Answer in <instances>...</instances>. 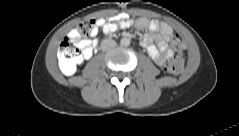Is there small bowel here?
<instances>
[{
    "label": "small bowel",
    "instance_id": "c3829d8e",
    "mask_svg": "<svg viewBox=\"0 0 239 136\" xmlns=\"http://www.w3.org/2000/svg\"><path fill=\"white\" fill-rule=\"evenodd\" d=\"M134 26L138 30H145L148 33L142 38L141 45L148 55L158 66H162L173 56V51L169 46L170 40L174 36V31L170 25L158 20L138 18L134 21L127 17H122L118 22H106L104 19L96 21V28L92 36H97L99 29L104 33H112L119 28L125 29ZM69 37L78 45L82 51V58L89 59L96 47L98 40L80 39L76 31L72 30Z\"/></svg>",
    "mask_w": 239,
    "mask_h": 136
}]
</instances>
